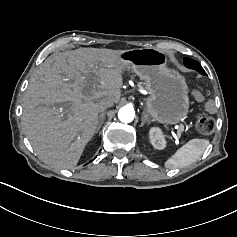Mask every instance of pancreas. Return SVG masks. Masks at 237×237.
Returning <instances> with one entry per match:
<instances>
[{
    "label": "pancreas",
    "instance_id": "cf45deb5",
    "mask_svg": "<svg viewBox=\"0 0 237 237\" xmlns=\"http://www.w3.org/2000/svg\"><path fill=\"white\" fill-rule=\"evenodd\" d=\"M138 87H141V84H138Z\"/></svg>",
    "mask_w": 237,
    "mask_h": 237
}]
</instances>
